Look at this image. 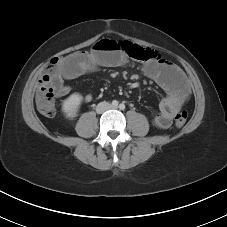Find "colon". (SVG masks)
Instances as JSON below:
<instances>
[{
  "mask_svg": "<svg viewBox=\"0 0 227 227\" xmlns=\"http://www.w3.org/2000/svg\"><path fill=\"white\" fill-rule=\"evenodd\" d=\"M117 44L129 57L135 60L151 62L159 58L158 53L149 48H143L129 42H117ZM61 60V58H53L50 60L47 66L48 73L41 78L38 84L36 106L38 111L46 117H52L56 113L55 91L51 83V74L57 69ZM187 119V111L183 110L178 112L174 118L176 127L180 128L184 126Z\"/></svg>",
  "mask_w": 227,
  "mask_h": 227,
  "instance_id": "colon-1",
  "label": "colon"
}]
</instances>
